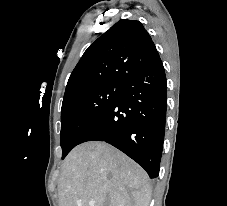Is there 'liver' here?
<instances>
[{
    "mask_svg": "<svg viewBox=\"0 0 227 206\" xmlns=\"http://www.w3.org/2000/svg\"><path fill=\"white\" fill-rule=\"evenodd\" d=\"M59 206H149L151 184L132 159L101 141L75 147L62 165Z\"/></svg>",
    "mask_w": 227,
    "mask_h": 206,
    "instance_id": "1",
    "label": "liver"
}]
</instances>
